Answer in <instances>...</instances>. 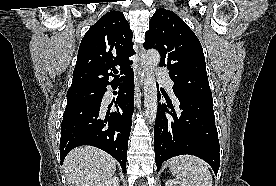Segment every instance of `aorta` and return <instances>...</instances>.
Masks as SVG:
<instances>
[{"mask_svg": "<svg viewBox=\"0 0 276 186\" xmlns=\"http://www.w3.org/2000/svg\"><path fill=\"white\" fill-rule=\"evenodd\" d=\"M158 51L151 49L146 54V69L144 80V108L148 124H153L157 114V86L154 70L160 62Z\"/></svg>", "mask_w": 276, "mask_h": 186, "instance_id": "aorta-1", "label": "aorta"}]
</instances>
